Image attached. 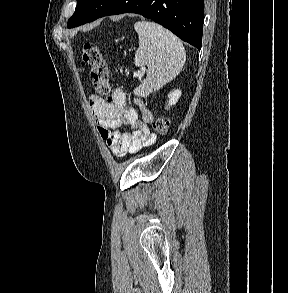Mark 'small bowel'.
<instances>
[{
	"instance_id": "1",
	"label": "small bowel",
	"mask_w": 288,
	"mask_h": 293,
	"mask_svg": "<svg viewBox=\"0 0 288 293\" xmlns=\"http://www.w3.org/2000/svg\"><path fill=\"white\" fill-rule=\"evenodd\" d=\"M133 105L127 102L126 93L115 88L108 100L92 95L90 108L97 123L98 131L111 152L117 157L136 154L154 144L155 134L150 130L153 114L143 102L133 98ZM141 112L139 117L138 109ZM121 126H130L133 133H123Z\"/></svg>"
}]
</instances>
